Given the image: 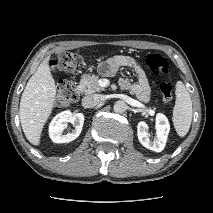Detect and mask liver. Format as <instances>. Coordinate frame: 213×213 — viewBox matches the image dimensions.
<instances>
[{
	"label": "liver",
	"mask_w": 213,
	"mask_h": 213,
	"mask_svg": "<svg viewBox=\"0 0 213 213\" xmlns=\"http://www.w3.org/2000/svg\"><path fill=\"white\" fill-rule=\"evenodd\" d=\"M56 100V86L45 58L28 80L20 101L19 116L28 141L38 146L44 124L50 116Z\"/></svg>",
	"instance_id": "obj_1"
}]
</instances>
